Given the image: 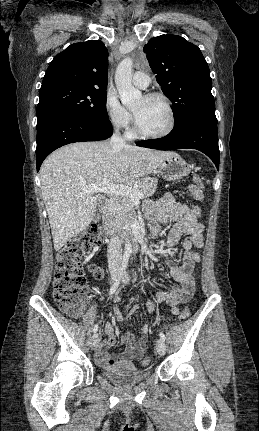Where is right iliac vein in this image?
Masks as SVG:
<instances>
[{
	"instance_id": "63e3f726",
	"label": "right iliac vein",
	"mask_w": 259,
	"mask_h": 431,
	"mask_svg": "<svg viewBox=\"0 0 259 431\" xmlns=\"http://www.w3.org/2000/svg\"><path fill=\"white\" fill-rule=\"evenodd\" d=\"M117 276H118L117 271H114L112 273V281L116 280ZM98 343H99V336H98V334H95L92 337L91 342H90V346H91L92 350H95L97 348Z\"/></svg>"
}]
</instances>
